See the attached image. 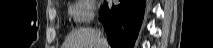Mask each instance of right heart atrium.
Instances as JSON below:
<instances>
[{
    "label": "right heart atrium",
    "instance_id": "1",
    "mask_svg": "<svg viewBox=\"0 0 213 48\" xmlns=\"http://www.w3.org/2000/svg\"><path fill=\"white\" fill-rule=\"evenodd\" d=\"M95 13V1L79 0L73 3L69 8V14L76 23H87Z\"/></svg>",
    "mask_w": 213,
    "mask_h": 48
}]
</instances>
